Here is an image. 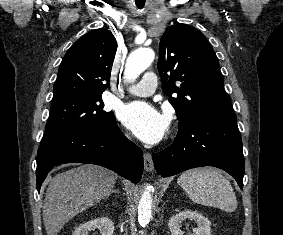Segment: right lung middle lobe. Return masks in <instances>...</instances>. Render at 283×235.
I'll use <instances>...</instances> for the list:
<instances>
[{"label": "right lung middle lobe", "instance_id": "1", "mask_svg": "<svg viewBox=\"0 0 283 235\" xmlns=\"http://www.w3.org/2000/svg\"><path fill=\"white\" fill-rule=\"evenodd\" d=\"M101 96L71 97L52 103L41 147L63 138L106 127L115 116L103 111Z\"/></svg>", "mask_w": 283, "mask_h": 235}]
</instances>
